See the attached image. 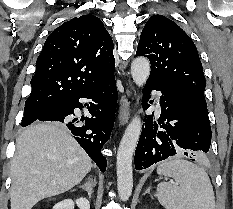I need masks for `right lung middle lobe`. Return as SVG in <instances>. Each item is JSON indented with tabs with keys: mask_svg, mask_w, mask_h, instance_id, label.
I'll return each instance as SVG.
<instances>
[{
	"mask_svg": "<svg viewBox=\"0 0 233 209\" xmlns=\"http://www.w3.org/2000/svg\"><path fill=\"white\" fill-rule=\"evenodd\" d=\"M58 103L59 102L25 103L22 127L28 126L35 122L36 119Z\"/></svg>",
	"mask_w": 233,
	"mask_h": 209,
	"instance_id": "obj_1",
	"label": "right lung middle lobe"
}]
</instances>
